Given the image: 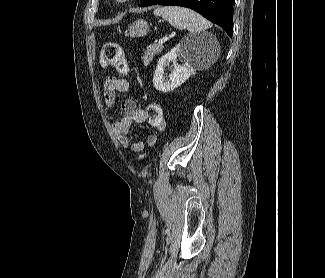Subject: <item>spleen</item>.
Masks as SVG:
<instances>
[{
  "label": "spleen",
  "mask_w": 325,
  "mask_h": 278,
  "mask_svg": "<svg viewBox=\"0 0 325 278\" xmlns=\"http://www.w3.org/2000/svg\"><path fill=\"white\" fill-rule=\"evenodd\" d=\"M155 16H160L177 29L200 32L211 27V23L191 9L178 6L157 7Z\"/></svg>",
  "instance_id": "3e777b00"
}]
</instances>
